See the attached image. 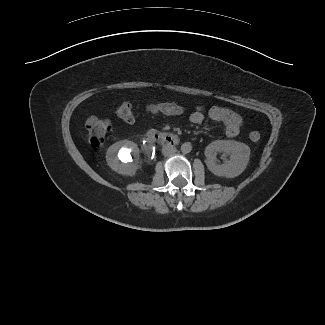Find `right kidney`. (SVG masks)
<instances>
[{
  "mask_svg": "<svg viewBox=\"0 0 325 325\" xmlns=\"http://www.w3.org/2000/svg\"><path fill=\"white\" fill-rule=\"evenodd\" d=\"M106 161L117 173L129 176L134 175L140 165L139 148L132 141H118L108 148Z\"/></svg>",
  "mask_w": 325,
  "mask_h": 325,
  "instance_id": "1",
  "label": "right kidney"
}]
</instances>
